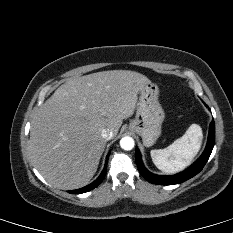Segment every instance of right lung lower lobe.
I'll return each mask as SVG.
<instances>
[{
	"label": "right lung lower lobe",
	"mask_w": 233,
	"mask_h": 233,
	"mask_svg": "<svg viewBox=\"0 0 233 233\" xmlns=\"http://www.w3.org/2000/svg\"><path fill=\"white\" fill-rule=\"evenodd\" d=\"M109 154L107 155V159L109 157ZM106 165H107V160H106ZM106 171H107V167L105 166V169L103 170V172L101 173V175L92 184H89L88 186H85L83 188H80V189H77V190L68 191V192L72 193V194H80V193H85V192H88V191L96 188L103 181V179L105 177V174H106Z\"/></svg>",
	"instance_id": "98d812e1"
}]
</instances>
